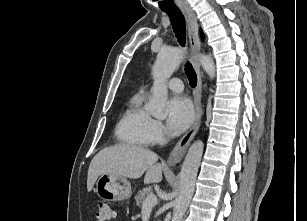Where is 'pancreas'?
Masks as SVG:
<instances>
[{"mask_svg": "<svg viewBox=\"0 0 307 221\" xmlns=\"http://www.w3.org/2000/svg\"><path fill=\"white\" fill-rule=\"evenodd\" d=\"M152 194L151 188H143L138 192V194L135 196V201L137 206H142L147 196Z\"/></svg>", "mask_w": 307, "mask_h": 221, "instance_id": "cf45deb5", "label": "pancreas"}]
</instances>
